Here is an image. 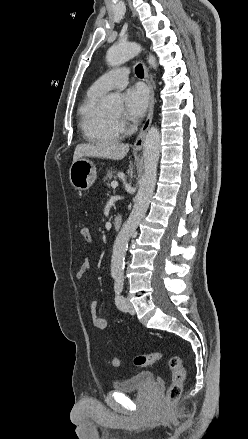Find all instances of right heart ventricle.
Here are the masks:
<instances>
[{
  "instance_id": "1",
  "label": "right heart ventricle",
  "mask_w": 248,
  "mask_h": 439,
  "mask_svg": "<svg viewBox=\"0 0 248 439\" xmlns=\"http://www.w3.org/2000/svg\"><path fill=\"white\" fill-rule=\"evenodd\" d=\"M102 93L88 90L79 109V125L84 138L92 143H114L123 138V130L119 124L99 109Z\"/></svg>"
}]
</instances>
